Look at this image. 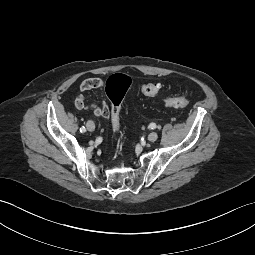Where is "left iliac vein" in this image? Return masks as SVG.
Segmentation results:
<instances>
[{"mask_svg":"<svg viewBox=\"0 0 255 255\" xmlns=\"http://www.w3.org/2000/svg\"><path fill=\"white\" fill-rule=\"evenodd\" d=\"M158 138V134L156 132H151L149 135H148V140L151 141V142H154L156 141Z\"/></svg>","mask_w":255,"mask_h":255,"instance_id":"1","label":"left iliac vein"}]
</instances>
